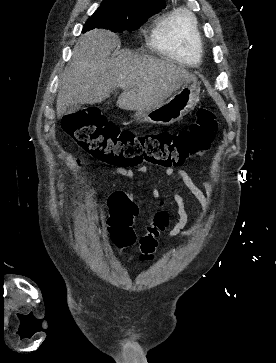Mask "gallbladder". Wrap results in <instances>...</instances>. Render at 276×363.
Listing matches in <instances>:
<instances>
[{
    "label": "gallbladder",
    "mask_w": 276,
    "mask_h": 363,
    "mask_svg": "<svg viewBox=\"0 0 276 363\" xmlns=\"http://www.w3.org/2000/svg\"><path fill=\"white\" fill-rule=\"evenodd\" d=\"M79 109L78 105H71L67 107V112L68 113H75L77 110Z\"/></svg>",
    "instance_id": "gallbladder-1"
}]
</instances>
